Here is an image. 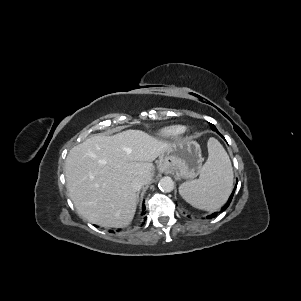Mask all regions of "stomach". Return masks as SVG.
Wrapping results in <instances>:
<instances>
[{
  "label": "stomach",
  "mask_w": 301,
  "mask_h": 301,
  "mask_svg": "<svg viewBox=\"0 0 301 301\" xmlns=\"http://www.w3.org/2000/svg\"><path fill=\"white\" fill-rule=\"evenodd\" d=\"M202 155L199 144L190 139L173 143L159 156L161 172L171 171L183 179H193L202 171Z\"/></svg>",
  "instance_id": "obj_1"
}]
</instances>
